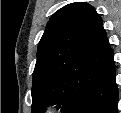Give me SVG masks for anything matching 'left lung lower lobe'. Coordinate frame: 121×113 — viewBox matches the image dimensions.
Wrapping results in <instances>:
<instances>
[{"label": "left lung lower lobe", "instance_id": "obj_1", "mask_svg": "<svg viewBox=\"0 0 121 113\" xmlns=\"http://www.w3.org/2000/svg\"><path fill=\"white\" fill-rule=\"evenodd\" d=\"M113 56L102 73L87 88L70 113H118V89Z\"/></svg>", "mask_w": 121, "mask_h": 113}]
</instances>
